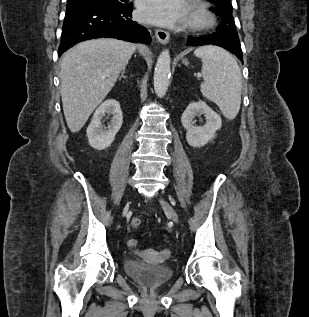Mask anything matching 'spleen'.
Masks as SVG:
<instances>
[{
	"label": "spleen",
	"instance_id": "obj_1",
	"mask_svg": "<svg viewBox=\"0 0 309 317\" xmlns=\"http://www.w3.org/2000/svg\"><path fill=\"white\" fill-rule=\"evenodd\" d=\"M202 61V95L216 103L227 119H234L240 109L242 75L234 57L222 48L202 46L194 51Z\"/></svg>",
	"mask_w": 309,
	"mask_h": 317
}]
</instances>
